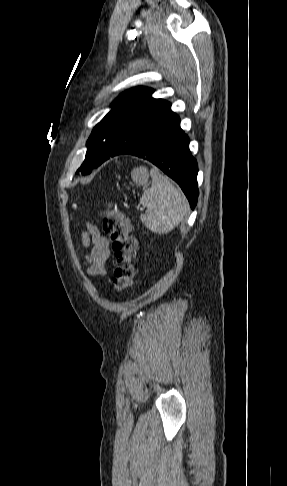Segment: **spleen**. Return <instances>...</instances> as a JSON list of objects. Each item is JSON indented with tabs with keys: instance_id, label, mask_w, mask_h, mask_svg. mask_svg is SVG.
<instances>
[{
	"instance_id": "3e777b00",
	"label": "spleen",
	"mask_w": 287,
	"mask_h": 486,
	"mask_svg": "<svg viewBox=\"0 0 287 486\" xmlns=\"http://www.w3.org/2000/svg\"><path fill=\"white\" fill-rule=\"evenodd\" d=\"M150 175L152 185L140 198V203L146 208L140 220L150 231L167 234L183 221L188 201L180 189L159 170H151Z\"/></svg>"
}]
</instances>
